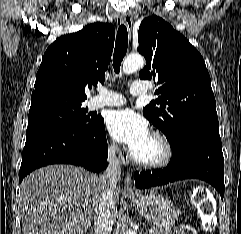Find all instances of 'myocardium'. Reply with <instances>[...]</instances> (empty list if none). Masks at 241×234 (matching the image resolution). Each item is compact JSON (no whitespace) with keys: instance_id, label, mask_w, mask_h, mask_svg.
<instances>
[{"instance_id":"myocardium-1","label":"myocardium","mask_w":241,"mask_h":234,"mask_svg":"<svg viewBox=\"0 0 241 234\" xmlns=\"http://www.w3.org/2000/svg\"><path fill=\"white\" fill-rule=\"evenodd\" d=\"M151 136L155 138L162 147V154L161 156L153 161H143L136 158L133 154H131V161L134 165L144 168V169H159L167 166L173 157V147L168 139V137L160 132V131H153Z\"/></svg>"}]
</instances>
